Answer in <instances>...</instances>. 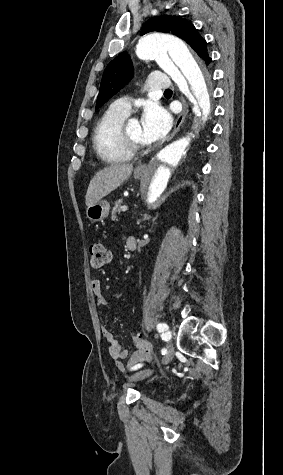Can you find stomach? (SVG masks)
Segmentation results:
<instances>
[{
	"instance_id": "obj_1",
	"label": "stomach",
	"mask_w": 283,
	"mask_h": 475,
	"mask_svg": "<svg viewBox=\"0 0 283 475\" xmlns=\"http://www.w3.org/2000/svg\"><path fill=\"white\" fill-rule=\"evenodd\" d=\"M149 168H146V172H134L135 180H142V178H147L149 176ZM110 206L107 200H100L96 202L93 206H88L86 210L87 218L90 222H101L104 218H107L109 214Z\"/></svg>"
}]
</instances>
